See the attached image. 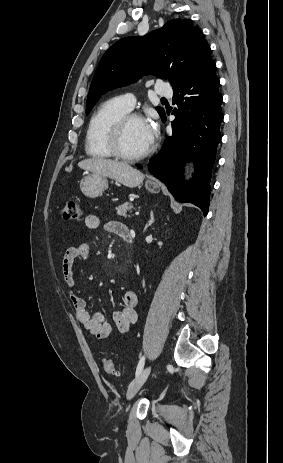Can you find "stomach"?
<instances>
[{"instance_id":"0dacf381","label":"stomach","mask_w":283,"mask_h":463,"mask_svg":"<svg viewBox=\"0 0 283 463\" xmlns=\"http://www.w3.org/2000/svg\"><path fill=\"white\" fill-rule=\"evenodd\" d=\"M146 189L150 193H158L160 186L156 181H146ZM108 188V181L106 177L100 175H89L84 177L80 182V189L82 193L90 198H96L100 196Z\"/></svg>"}]
</instances>
